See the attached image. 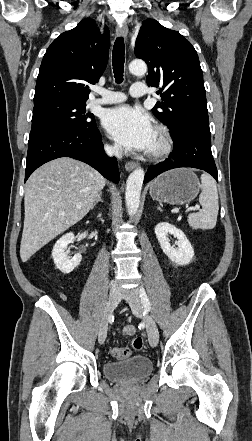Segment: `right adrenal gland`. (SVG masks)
Segmentation results:
<instances>
[{"label": "right adrenal gland", "mask_w": 252, "mask_h": 441, "mask_svg": "<svg viewBox=\"0 0 252 441\" xmlns=\"http://www.w3.org/2000/svg\"><path fill=\"white\" fill-rule=\"evenodd\" d=\"M98 202H102V203H103V200H102V193H100V194L97 196V198H96V200H95V202H94V204H93V206H92L91 209H94V207L98 204Z\"/></svg>", "instance_id": "right-adrenal-gland-1"}]
</instances>
